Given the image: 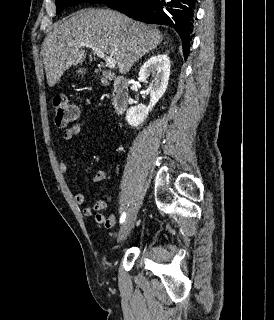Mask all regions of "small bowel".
Here are the masks:
<instances>
[{"instance_id": "obj_1", "label": "small bowel", "mask_w": 274, "mask_h": 320, "mask_svg": "<svg viewBox=\"0 0 274 320\" xmlns=\"http://www.w3.org/2000/svg\"><path fill=\"white\" fill-rule=\"evenodd\" d=\"M89 125L88 120L75 119L74 124L68 127L63 132V139L66 142L71 141L75 136L79 135L81 131ZM61 155L65 153V148H62L60 151ZM58 169L62 177L66 182H69V170L68 165L61 158L58 162ZM108 172L106 170L97 171L92 177H90L89 181L91 183H97L106 179ZM73 199L77 205H81L82 213L86 217H91L95 211H102L106 208L107 204L104 200H99L93 205H84L85 196L82 192L74 190ZM95 221L97 223L103 224L106 227H112L115 224V217L113 215H106L103 213H98L95 216Z\"/></svg>"}]
</instances>
